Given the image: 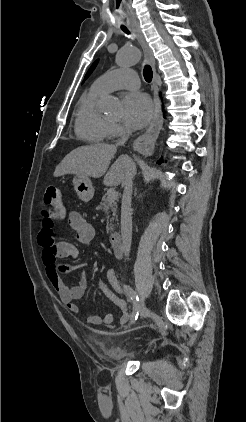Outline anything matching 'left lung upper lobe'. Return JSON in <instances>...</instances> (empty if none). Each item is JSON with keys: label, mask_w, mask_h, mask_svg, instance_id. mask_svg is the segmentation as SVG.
Listing matches in <instances>:
<instances>
[{"label": "left lung upper lobe", "mask_w": 246, "mask_h": 422, "mask_svg": "<svg viewBox=\"0 0 246 422\" xmlns=\"http://www.w3.org/2000/svg\"><path fill=\"white\" fill-rule=\"evenodd\" d=\"M97 63H98V60H97V61H95V62L92 64V66L90 67V69L88 70V72H87V74H86V76H85V79H86V78H88V76H89V75L93 72V70L95 69V67H96Z\"/></svg>", "instance_id": "1"}]
</instances>
